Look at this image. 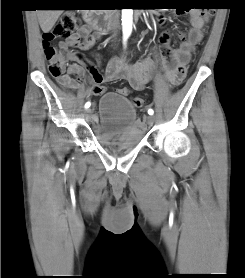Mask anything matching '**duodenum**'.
<instances>
[{
  "instance_id": "1",
  "label": "duodenum",
  "mask_w": 245,
  "mask_h": 278,
  "mask_svg": "<svg viewBox=\"0 0 245 278\" xmlns=\"http://www.w3.org/2000/svg\"><path fill=\"white\" fill-rule=\"evenodd\" d=\"M134 17L135 20H139L141 18V12L139 9L135 10ZM83 19L88 26L99 33H108L113 29V24L110 20L106 16H103L100 12L87 11L84 14Z\"/></svg>"
}]
</instances>
